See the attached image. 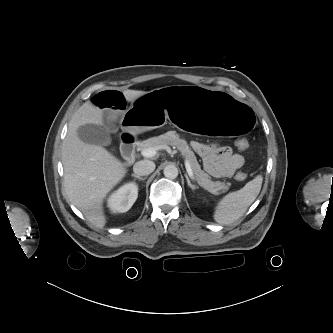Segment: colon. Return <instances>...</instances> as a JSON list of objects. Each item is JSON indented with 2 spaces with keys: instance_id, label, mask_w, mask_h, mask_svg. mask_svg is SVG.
I'll return each instance as SVG.
<instances>
[{
  "instance_id": "colon-1",
  "label": "colon",
  "mask_w": 333,
  "mask_h": 333,
  "mask_svg": "<svg viewBox=\"0 0 333 333\" xmlns=\"http://www.w3.org/2000/svg\"><path fill=\"white\" fill-rule=\"evenodd\" d=\"M236 146L240 150H245L248 148L249 143L246 139L241 138L236 141ZM235 177L238 181H243L247 178V175L244 172H238Z\"/></svg>"
}]
</instances>
